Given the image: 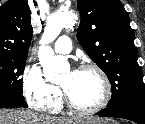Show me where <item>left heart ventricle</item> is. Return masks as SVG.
<instances>
[{
    "mask_svg": "<svg viewBox=\"0 0 145 124\" xmlns=\"http://www.w3.org/2000/svg\"><path fill=\"white\" fill-rule=\"evenodd\" d=\"M60 85L71 100L80 107L96 105L103 96V84L94 71H66Z\"/></svg>",
    "mask_w": 145,
    "mask_h": 124,
    "instance_id": "1",
    "label": "left heart ventricle"
}]
</instances>
